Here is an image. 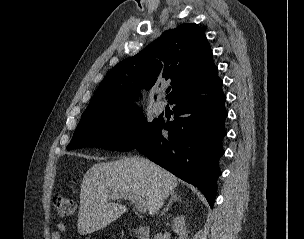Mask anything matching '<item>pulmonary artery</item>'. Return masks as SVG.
<instances>
[{"label":"pulmonary artery","mask_w":304,"mask_h":239,"mask_svg":"<svg viewBox=\"0 0 304 239\" xmlns=\"http://www.w3.org/2000/svg\"><path fill=\"white\" fill-rule=\"evenodd\" d=\"M166 103L164 101H157L154 105L155 111L160 113L165 110Z\"/></svg>","instance_id":"e3ab8cb5"}]
</instances>
